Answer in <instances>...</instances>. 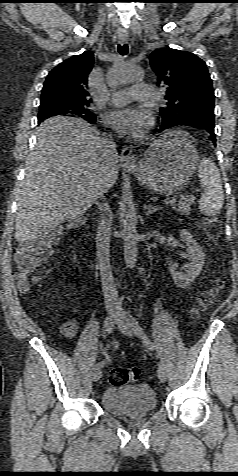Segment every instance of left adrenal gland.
Segmentation results:
<instances>
[{
    "instance_id": "obj_1",
    "label": "left adrenal gland",
    "mask_w": 238,
    "mask_h": 476,
    "mask_svg": "<svg viewBox=\"0 0 238 476\" xmlns=\"http://www.w3.org/2000/svg\"><path fill=\"white\" fill-rule=\"evenodd\" d=\"M162 208L161 207H157V206H153V205H149V206H144V212L146 213L147 216H149L150 214L156 212L157 210H161Z\"/></svg>"
}]
</instances>
